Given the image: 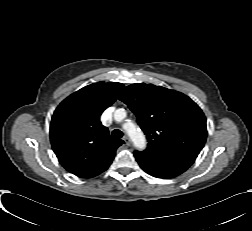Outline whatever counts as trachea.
I'll return each mask as SVG.
<instances>
[{"mask_svg":"<svg viewBox=\"0 0 252 231\" xmlns=\"http://www.w3.org/2000/svg\"><path fill=\"white\" fill-rule=\"evenodd\" d=\"M123 136V132L120 131L119 129H115L112 131V137L116 139H120Z\"/></svg>","mask_w":252,"mask_h":231,"instance_id":"obj_1","label":"trachea"}]
</instances>
